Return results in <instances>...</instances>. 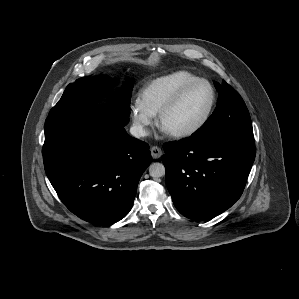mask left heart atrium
Here are the masks:
<instances>
[{"mask_svg":"<svg viewBox=\"0 0 299 299\" xmlns=\"http://www.w3.org/2000/svg\"><path fill=\"white\" fill-rule=\"evenodd\" d=\"M164 132L168 133L167 131H165L164 129H162Z\"/></svg>","mask_w":299,"mask_h":299,"instance_id":"39dd6f15","label":"left heart atrium"}]
</instances>
